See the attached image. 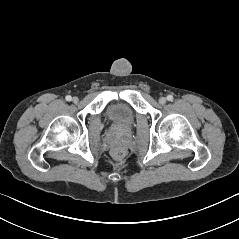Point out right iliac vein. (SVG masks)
<instances>
[{
    "mask_svg": "<svg viewBox=\"0 0 239 239\" xmlns=\"http://www.w3.org/2000/svg\"><path fill=\"white\" fill-rule=\"evenodd\" d=\"M72 100H73L74 103H78L79 102V98L78 97H74Z\"/></svg>",
    "mask_w": 239,
    "mask_h": 239,
    "instance_id": "63e3f726",
    "label": "right iliac vein"
}]
</instances>
